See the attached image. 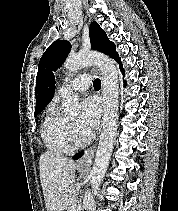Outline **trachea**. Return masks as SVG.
Instances as JSON below:
<instances>
[{
  "mask_svg": "<svg viewBox=\"0 0 178 211\" xmlns=\"http://www.w3.org/2000/svg\"><path fill=\"white\" fill-rule=\"evenodd\" d=\"M93 86H94V88H95L96 90H97V89H100V88H101V81H100V79L96 78V79L94 80Z\"/></svg>",
  "mask_w": 178,
  "mask_h": 211,
  "instance_id": "obj_1",
  "label": "trachea"
}]
</instances>
